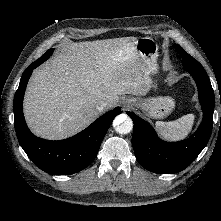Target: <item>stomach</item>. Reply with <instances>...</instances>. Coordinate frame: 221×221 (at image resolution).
I'll return each mask as SVG.
<instances>
[{"instance_id":"1","label":"stomach","mask_w":221,"mask_h":221,"mask_svg":"<svg viewBox=\"0 0 221 221\" xmlns=\"http://www.w3.org/2000/svg\"><path fill=\"white\" fill-rule=\"evenodd\" d=\"M138 53L146 63L149 70L150 89L156 88L153 75L158 71V50L159 46L150 37L136 39L134 41ZM136 105L142 108L150 117L155 119L165 118L175 107L171 97H151L147 99H135Z\"/></svg>"}]
</instances>
